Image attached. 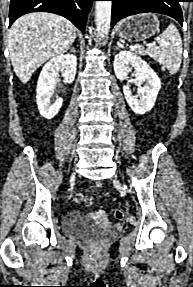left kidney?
Instances as JSON below:
<instances>
[{"label":"left kidney","mask_w":193,"mask_h":287,"mask_svg":"<svg viewBox=\"0 0 193 287\" xmlns=\"http://www.w3.org/2000/svg\"><path fill=\"white\" fill-rule=\"evenodd\" d=\"M114 72L118 79L127 83L139 85V96H135L129 85L123 86V93L129 107L137 114H144L152 109L157 94L161 88V81L154 70L136 53L120 51L115 55ZM134 69L135 79H129L128 74ZM145 83L142 87L141 85Z\"/></svg>","instance_id":"left-kidney-1"}]
</instances>
